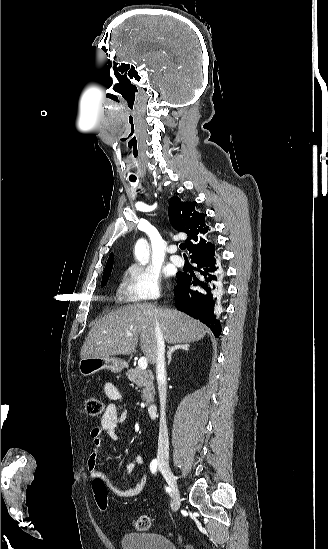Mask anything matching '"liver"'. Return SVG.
Listing matches in <instances>:
<instances>
[{"instance_id": "liver-1", "label": "liver", "mask_w": 328, "mask_h": 549, "mask_svg": "<svg viewBox=\"0 0 328 549\" xmlns=\"http://www.w3.org/2000/svg\"><path fill=\"white\" fill-rule=\"evenodd\" d=\"M156 325H159L163 339L173 345L201 341L208 333L203 323L177 309L157 307L153 303H133L100 317L94 323L80 351V357L131 355L140 339L142 353L154 365ZM127 333H131L130 337Z\"/></svg>"}]
</instances>
